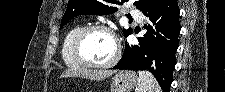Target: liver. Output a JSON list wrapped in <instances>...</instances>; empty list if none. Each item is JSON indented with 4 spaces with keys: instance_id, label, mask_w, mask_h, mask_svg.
<instances>
[{
    "instance_id": "6515ba94",
    "label": "liver",
    "mask_w": 225,
    "mask_h": 92,
    "mask_svg": "<svg viewBox=\"0 0 225 92\" xmlns=\"http://www.w3.org/2000/svg\"><path fill=\"white\" fill-rule=\"evenodd\" d=\"M113 73H115V71H112V70L67 69L63 71L60 78L80 77V78L90 79L94 81H101L110 77Z\"/></svg>"
}]
</instances>
